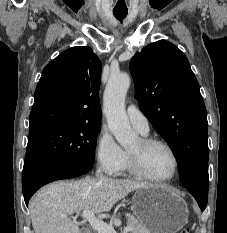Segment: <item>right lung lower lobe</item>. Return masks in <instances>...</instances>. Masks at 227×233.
I'll return each mask as SVG.
<instances>
[{"instance_id":"1","label":"right lung lower lobe","mask_w":227,"mask_h":233,"mask_svg":"<svg viewBox=\"0 0 227 233\" xmlns=\"http://www.w3.org/2000/svg\"><path fill=\"white\" fill-rule=\"evenodd\" d=\"M75 163H54L40 166L26 175H22V189L26 205L32 195L43 185L52 181L81 176L92 169Z\"/></svg>"}]
</instances>
